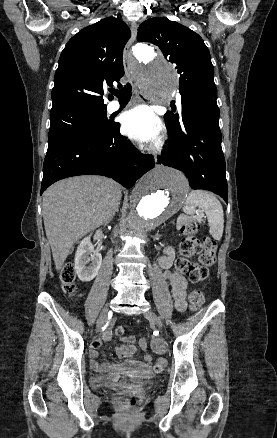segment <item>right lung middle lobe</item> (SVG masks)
Returning a JSON list of instances; mask_svg holds the SVG:
<instances>
[{"mask_svg":"<svg viewBox=\"0 0 277 438\" xmlns=\"http://www.w3.org/2000/svg\"><path fill=\"white\" fill-rule=\"evenodd\" d=\"M48 146L63 139L84 133H99L110 127L106 108L75 109L63 113H50Z\"/></svg>","mask_w":277,"mask_h":438,"instance_id":"right-lung-middle-lobe-1","label":"right lung middle lobe"}]
</instances>
